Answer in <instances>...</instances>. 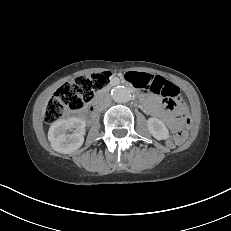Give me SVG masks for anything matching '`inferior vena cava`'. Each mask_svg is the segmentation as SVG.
Wrapping results in <instances>:
<instances>
[{
    "instance_id": "1",
    "label": "inferior vena cava",
    "mask_w": 231,
    "mask_h": 231,
    "mask_svg": "<svg viewBox=\"0 0 231 231\" xmlns=\"http://www.w3.org/2000/svg\"><path fill=\"white\" fill-rule=\"evenodd\" d=\"M111 104V98L109 96L105 97L103 99V101L101 102V106H100V109L103 110V109H106L107 107H109Z\"/></svg>"
}]
</instances>
